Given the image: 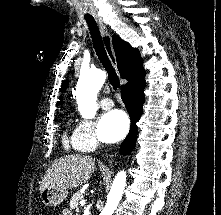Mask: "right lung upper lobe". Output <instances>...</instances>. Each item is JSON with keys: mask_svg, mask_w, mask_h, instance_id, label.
<instances>
[{"mask_svg": "<svg viewBox=\"0 0 221 215\" xmlns=\"http://www.w3.org/2000/svg\"><path fill=\"white\" fill-rule=\"evenodd\" d=\"M113 47L116 54L117 66L120 76L123 79H127V84L122 88L133 84L134 82L142 79L146 72L143 69V60L140 56V52L137 48H133L129 43L122 40L119 36L114 35L112 37ZM67 80L62 84L61 91H64L67 87ZM62 100V98H60ZM62 101L59 102V104Z\"/></svg>", "mask_w": 221, "mask_h": 215, "instance_id": "1", "label": "right lung upper lobe"}]
</instances>
